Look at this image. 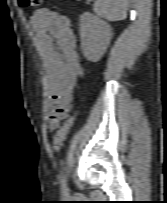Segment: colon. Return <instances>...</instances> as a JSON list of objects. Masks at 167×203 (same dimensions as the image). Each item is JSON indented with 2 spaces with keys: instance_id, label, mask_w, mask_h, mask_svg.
I'll list each match as a JSON object with an SVG mask.
<instances>
[{
  "instance_id": "5ec220e1",
  "label": "colon",
  "mask_w": 167,
  "mask_h": 203,
  "mask_svg": "<svg viewBox=\"0 0 167 203\" xmlns=\"http://www.w3.org/2000/svg\"><path fill=\"white\" fill-rule=\"evenodd\" d=\"M43 3V0H18V4L22 8H36L40 7ZM75 119V113L68 117L61 127L58 129L57 133L53 139V149L54 151H59L63 146L64 140L66 138L69 129L71 128Z\"/></svg>"
}]
</instances>
